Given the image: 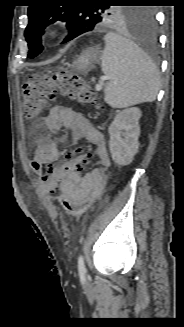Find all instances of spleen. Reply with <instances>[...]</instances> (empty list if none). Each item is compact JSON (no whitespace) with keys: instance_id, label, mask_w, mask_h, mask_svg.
Segmentation results:
<instances>
[{"instance_id":"obj_1","label":"spleen","mask_w":184,"mask_h":327,"mask_svg":"<svg viewBox=\"0 0 184 327\" xmlns=\"http://www.w3.org/2000/svg\"><path fill=\"white\" fill-rule=\"evenodd\" d=\"M104 39L101 69L111 78L105 101L113 108L154 101L160 76L152 60L129 39L115 33L106 34Z\"/></svg>"}]
</instances>
